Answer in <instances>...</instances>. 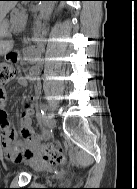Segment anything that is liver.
<instances>
[{
    "mask_svg": "<svg viewBox=\"0 0 137 189\" xmlns=\"http://www.w3.org/2000/svg\"><path fill=\"white\" fill-rule=\"evenodd\" d=\"M16 1H0V25L7 13L16 5Z\"/></svg>",
    "mask_w": 137,
    "mask_h": 189,
    "instance_id": "obj_1",
    "label": "liver"
}]
</instances>
